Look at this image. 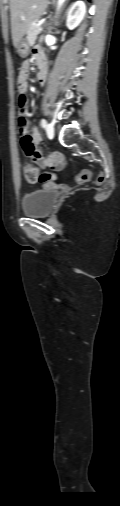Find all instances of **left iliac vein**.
Instances as JSON below:
<instances>
[{
  "label": "left iliac vein",
  "mask_w": 120,
  "mask_h": 506,
  "mask_svg": "<svg viewBox=\"0 0 120 506\" xmlns=\"http://www.w3.org/2000/svg\"><path fill=\"white\" fill-rule=\"evenodd\" d=\"M46 132L49 138H53L54 136V126L53 124L49 123L46 127Z\"/></svg>",
  "instance_id": "4c4485c4"
}]
</instances>
